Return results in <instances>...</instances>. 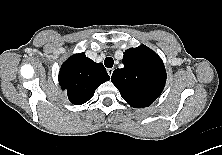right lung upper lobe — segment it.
<instances>
[{
    "instance_id": "right-lung-upper-lobe-1",
    "label": "right lung upper lobe",
    "mask_w": 222,
    "mask_h": 155,
    "mask_svg": "<svg viewBox=\"0 0 222 155\" xmlns=\"http://www.w3.org/2000/svg\"><path fill=\"white\" fill-rule=\"evenodd\" d=\"M110 79L102 63H95L85 53L74 54L61 66L59 84L71 103L81 105L90 100L97 87Z\"/></svg>"
}]
</instances>
